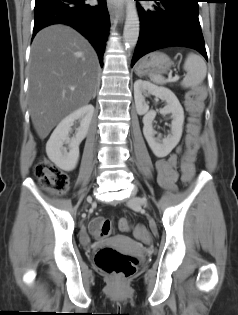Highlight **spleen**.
Returning a JSON list of instances; mask_svg holds the SVG:
<instances>
[{"mask_svg": "<svg viewBox=\"0 0 238 315\" xmlns=\"http://www.w3.org/2000/svg\"><path fill=\"white\" fill-rule=\"evenodd\" d=\"M183 68L187 72L181 82V85L184 88L196 87L201 84L206 77V63L200 55L190 53L184 62ZM150 79L156 84L165 83V79L160 75H151Z\"/></svg>", "mask_w": 238, "mask_h": 315, "instance_id": "obj_1", "label": "spleen"}]
</instances>
